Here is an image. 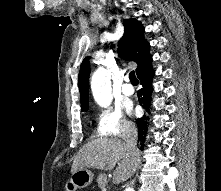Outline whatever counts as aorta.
<instances>
[{
	"mask_svg": "<svg viewBox=\"0 0 221 191\" xmlns=\"http://www.w3.org/2000/svg\"><path fill=\"white\" fill-rule=\"evenodd\" d=\"M91 90L95 101L102 107H107L112 102L111 84L104 68H98L91 78ZM125 191H134L128 187Z\"/></svg>",
	"mask_w": 221,
	"mask_h": 191,
	"instance_id": "obj_1",
	"label": "aorta"
}]
</instances>
